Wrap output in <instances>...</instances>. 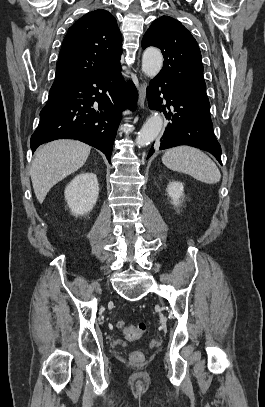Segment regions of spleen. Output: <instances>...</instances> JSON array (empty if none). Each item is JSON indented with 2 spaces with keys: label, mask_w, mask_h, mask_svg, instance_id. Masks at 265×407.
Segmentation results:
<instances>
[{
  "label": "spleen",
  "mask_w": 265,
  "mask_h": 407,
  "mask_svg": "<svg viewBox=\"0 0 265 407\" xmlns=\"http://www.w3.org/2000/svg\"><path fill=\"white\" fill-rule=\"evenodd\" d=\"M162 162L173 171L189 174L207 184L217 183L221 179V173L212 159L194 147L171 148L162 156Z\"/></svg>",
  "instance_id": "3e777b00"
}]
</instances>
